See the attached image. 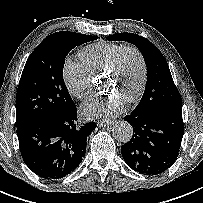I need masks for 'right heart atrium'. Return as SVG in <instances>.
I'll return each instance as SVG.
<instances>
[{"label":"right heart atrium","instance_id":"d8ad5b80","mask_svg":"<svg viewBox=\"0 0 203 203\" xmlns=\"http://www.w3.org/2000/svg\"><path fill=\"white\" fill-rule=\"evenodd\" d=\"M62 77L68 92L77 99L85 98L91 89V74L79 61L67 58L63 64Z\"/></svg>","mask_w":203,"mask_h":203}]
</instances>
